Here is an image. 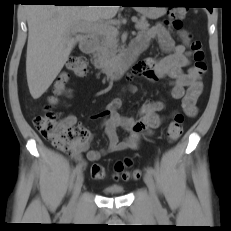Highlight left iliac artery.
I'll use <instances>...</instances> for the list:
<instances>
[{"mask_svg":"<svg viewBox=\"0 0 231 231\" xmlns=\"http://www.w3.org/2000/svg\"><path fill=\"white\" fill-rule=\"evenodd\" d=\"M146 170H147V172H148L150 175H152V176H155V175H156V172H155L154 168L148 166V167L146 168Z\"/></svg>","mask_w":231,"mask_h":231,"instance_id":"44dca946","label":"left iliac artery"}]
</instances>
